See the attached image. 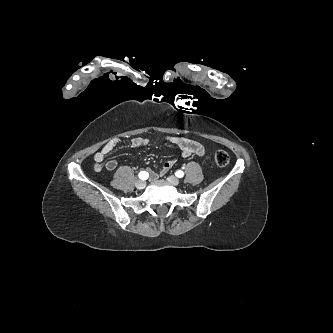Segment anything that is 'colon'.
I'll list each match as a JSON object with an SVG mask.
<instances>
[{
    "mask_svg": "<svg viewBox=\"0 0 333 333\" xmlns=\"http://www.w3.org/2000/svg\"><path fill=\"white\" fill-rule=\"evenodd\" d=\"M215 162L218 166H226L229 163V155L224 150H218L214 156Z\"/></svg>",
    "mask_w": 333,
    "mask_h": 333,
    "instance_id": "5ec220e1",
    "label": "colon"
}]
</instances>
